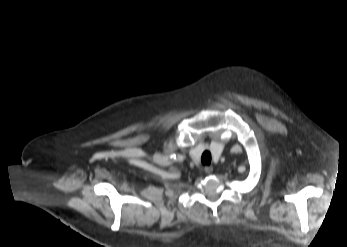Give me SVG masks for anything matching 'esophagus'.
<instances>
[{
  "label": "esophagus",
  "instance_id": "obj_1",
  "mask_svg": "<svg viewBox=\"0 0 347 247\" xmlns=\"http://www.w3.org/2000/svg\"><path fill=\"white\" fill-rule=\"evenodd\" d=\"M204 171L207 173V174H211L213 172V167L212 166H205L204 167Z\"/></svg>",
  "mask_w": 347,
  "mask_h": 247
}]
</instances>
